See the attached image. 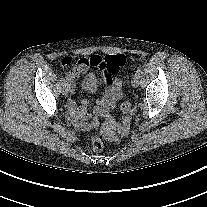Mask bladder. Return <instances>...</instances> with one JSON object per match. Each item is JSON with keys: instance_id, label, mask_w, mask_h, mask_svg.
<instances>
[{"instance_id": "1", "label": "bladder", "mask_w": 207, "mask_h": 207, "mask_svg": "<svg viewBox=\"0 0 207 207\" xmlns=\"http://www.w3.org/2000/svg\"><path fill=\"white\" fill-rule=\"evenodd\" d=\"M96 84V77L93 74L86 75L82 80V88L86 91H93Z\"/></svg>"}]
</instances>
